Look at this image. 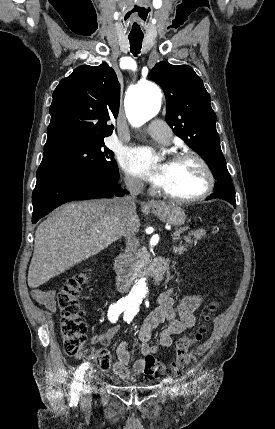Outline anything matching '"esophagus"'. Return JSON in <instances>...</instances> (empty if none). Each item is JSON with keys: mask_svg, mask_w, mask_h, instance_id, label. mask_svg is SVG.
<instances>
[{"mask_svg": "<svg viewBox=\"0 0 275 429\" xmlns=\"http://www.w3.org/2000/svg\"><path fill=\"white\" fill-rule=\"evenodd\" d=\"M148 204L151 207H157V206H159V203L156 200H150V201H148Z\"/></svg>", "mask_w": 275, "mask_h": 429, "instance_id": "esophagus-1", "label": "esophagus"}]
</instances>
